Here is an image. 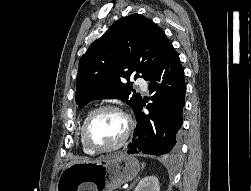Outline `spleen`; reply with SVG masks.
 Wrapping results in <instances>:
<instances>
[{
  "mask_svg": "<svg viewBox=\"0 0 251 191\" xmlns=\"http://www.w3.org/2000/svg\"><path fill=\"white\" fill-rule=\"evenodd\" d=\"M142 165H143V167H144L145 163H142Z\"/></svg>",
  "mask_w": 251,
  "mask_h": 191,
  "instance_id": "spleen-1",
  "label": "spleen"
}]
</instances>
